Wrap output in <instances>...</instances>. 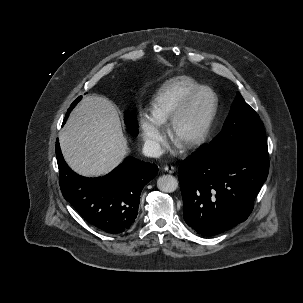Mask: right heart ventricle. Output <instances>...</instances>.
Returning <instances> with one entry per match:
<instances>
[{"label": "right heart ventricle", "instance_id": "e07e8e85", "mask_svg": "<svg viewBox=\"0 0 303 303\" xmlns=\"http://www.w3.org/2000/svg\"><path fill=\"white\" fill-rule=\"evenodd\" d=\"M201 85L187 76L167 80L156 91L151 102V114L160 124L170 120L173 113L187 97Z\"/></svg>", "mask_w": 303, "mask_h": 303}]
</instances>
